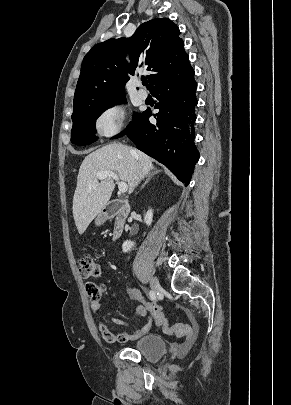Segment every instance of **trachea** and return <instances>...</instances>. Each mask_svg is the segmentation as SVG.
Wrapping results in <instances>:
<instances>
[{"label": "trachea", "mask_w": 291, "mask_h": 405, "mask_svg": "<svg viewBox=\"0 0 291 405\" xmlns=\"http://www.w3.org/2000/svg\"><path fill=\"white\" fill-rule=\"evenodd\" d=\"M142 84L146 86L148 84V81L146 79H142Z\"/></svg>", "instance_id": "3493384b"}]
</instances>
